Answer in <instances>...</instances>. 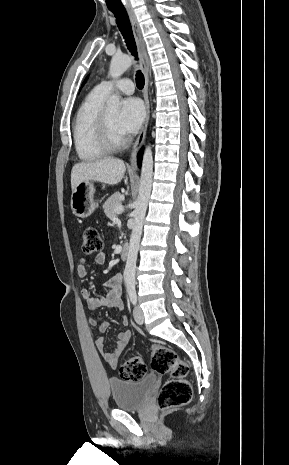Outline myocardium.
<instances>
[{"mask_svg": "<svg viewBox=\"0 0 289 465\" xmlns=\"http://www.w3.org/2000/svg\"><path fill=\"white\" fill-rule=\"evenodd\" d=\"M98 140L102 147L108 151H115L123 148L127 139L125 137H118L114 133L106 109H103L97 124Z\"/></svg>", "mask_w": 289, "mask_h": 465, "instance_id": "obj_1", "label": "myocardium"}]
</instances>
